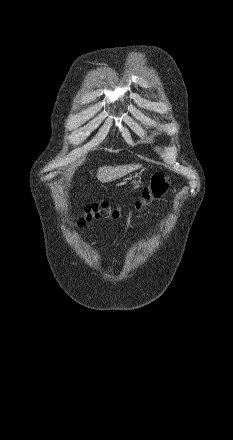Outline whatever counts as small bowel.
Masks as SVG:
<instances>
[{"label":"small bowel","instance_id":"obj_1","mask_svg":"<svg viewBox=\"0 0 233 440\" xmlns=\"http://www.w3.org/2000/svg\"><path fill=\"white\" fill-rule=\"evenodd\" d=\"M111 262L114 263V264H119V261L116 260V259H111Z\"/></svg>","mask_w":233,"mask_h":440}]
</instances>
